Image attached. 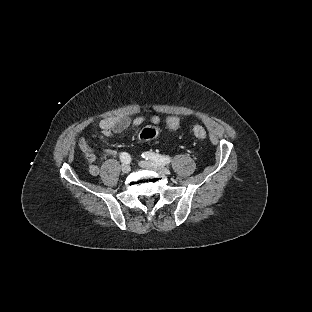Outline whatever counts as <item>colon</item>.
<instances>
[{"label":"colon","instance_id":"obj_1","mask_svg":"<svg viewBox=\"0 0 312 312\" xmlns=\"http://www.w3.org/2000/svg\"><path fill=\"white\" fill-rule=\"evenodd\" d=\"M178 125V121L176 118L171 117L168 119L166 126L169 129H174ZM193 132L195 133L196 137L199 139L205 138L204 129L201 125L195 124L192 127ZM156 129L154 127H146L141 131L140 137L145 140L152 139L156 136Z\"/></svg>","mask_w":312,"mask_h":312}]
</instances>
